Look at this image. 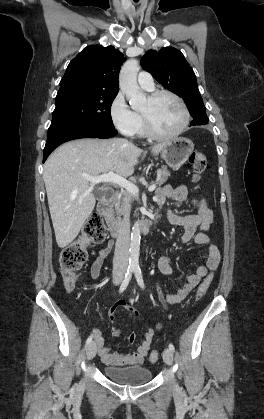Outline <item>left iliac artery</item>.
<instances>
[{"mask_svg": "<svg viewBox=\"0 0 264 419\" xmlns=\"http://www.w3.org/2000/svg\"><path fill=\"white\" fill-rule=\"evenodd\" d=\"M134 272H135V276H136V280H137V282H138V284H139V286L142 288V289H144V281H143V277H142V273H141V269H140V267H135L134 268ZM169 349L172 351V352H174V350H175V348H174V346H173V344H169Z\"/></svg>", "mask_w": 264, "mask_h": 419, "instance_id": "44dca946", "label": "left iliac artery"}]
</instances>
